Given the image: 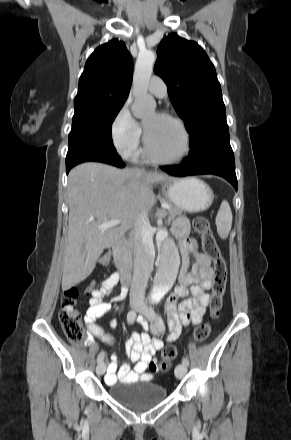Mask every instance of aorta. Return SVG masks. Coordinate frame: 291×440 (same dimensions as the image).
I'll list each match as a JSON object with an SVG mask.
<instances>
[{"mask_svg": "<svg viewBox=\"0 0 291 440\" xmlns=\"http://www.w3.org/2000/svg\"><path fill=\"white\" fill-rule=\"evenodd\" d=\"M156 54L152 51L140 52L134 70V103L131 106L133 115L143 118L156 108L154 98L148 94V85L153 72ZM159 264L154 278L152 299H161L172 287L179 265V254L175 242L166 233L157 235Z\"/></svg>", "mask_w": 291, "mask_h": 440, "instance_id": "obj_1", "label": "aorta"}]
</instances>
